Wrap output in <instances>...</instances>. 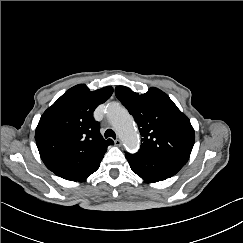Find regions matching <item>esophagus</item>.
Here are the masks:
<instances>
[{"mask_svg":"<svg viewBox=\"0 0 243 243\" xmlns=\"http://www.w3.org/2000/svg\"><path fill=\"white\" fill-rule=\"evenodd\" d=\"M114 143H115L116 146H121V144H122V142H121L120 139H116V140L114 141Z\"/></svg>","mask_w":243,"mask_h":243,"instance_id":"34e87169","label":"esophagus"}]
</instances>
